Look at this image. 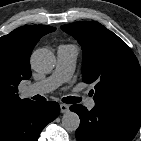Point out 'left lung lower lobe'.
Masks as SVG:
<instances>
[{
	"mask_svg": "<svg viewBox=\"0 0 141 141\" xmlns=\"http://www.w3.org/2000/svg\"><path fill=\"white\" fill-rule=\"evenodd\" d=\"M70 110L80 117L77 141H132L141 126V117L99 105L88 111L77 104Z\"/></svg>",
	"mask_w": 141,
	"mask_h": 141,
	"instance_id": "left-lung-lower-lobe-1",
	"label": "left lung lower lobe"
}]
</instances>
